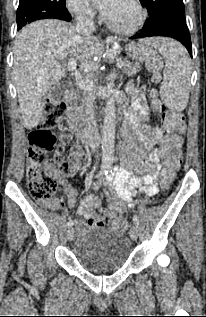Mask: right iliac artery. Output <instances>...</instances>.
Here are the masks:
<instances>
[{"label":"right iliac artery","instance_id":"right-iliac-artery-1","mask_svg":"<svg viewBox=\"0 0 206 317\" xmlns=\"http://www.w3.org/2000/svg\"><path fill=\"white\" fill-rule=\"evenodd\" d=\"M104 174H107V171L106 169H101L100 172L97 174V178L103 176ZM67 226L70 228L73 226V221L72 220H69L68 223H67Z\"/></svg>","mask_w":206,"mask_h":317}]
</instances>
